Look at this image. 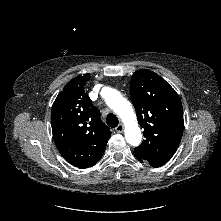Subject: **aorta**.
Here are the masks:
<instances>
[{"label": "aorta", "instance_id": "obj_1", "mask_svg": "<svg viewBox=\"0 0 221 221\" xmlns=\"http://www.w3.org/2000/svg\"><path fill=\"white\" fill-rule=\"evenodd\" d=\"M105 101L125 124L126 141L132 146H138L141 142L142 135L130 102L115 89H108Z\"/></svg>", "mask_w": 221, "mask_h": 221}]
</instances>
